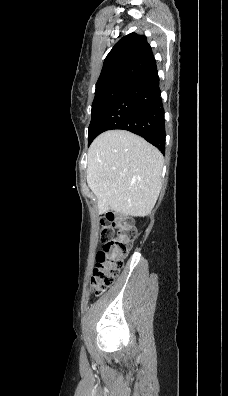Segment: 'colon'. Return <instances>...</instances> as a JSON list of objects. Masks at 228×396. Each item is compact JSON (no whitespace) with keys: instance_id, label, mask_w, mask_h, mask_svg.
Returning a JSON list of instances; mask_svg holds the SVG:
<instances>
[{"instance_id":"5ec220e1","label":"colon","mask_w":228,"mask_h":396,"mask_svg":"<svg viewBox=\"0 0 228 396\" xmlns=\"http://www.w3.org/2000/svg\"><path fill=\"white\" fill-rule=\"evenodd\" d=\"M101 234L104 242L91 276V289L95 295L102 294L114 283L135 237L134 229L113 212H107L104 216Z\"/></svg>"}]
</instances>
